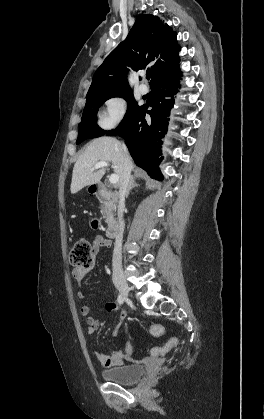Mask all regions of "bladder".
<instances>
[{"instance_id":"1","label":"bladder","mask_w":264,"mask_h":419,"mask_svg":"<svg viewBox=\"0 0 264 419\" xmlns=\"http://www.w3.org/2000/svg\"><path fill=\"white\" fill-rule=\"evenodd\" d=\"M145 373L144 365L128 363L102 371L104 380L118 384H132L137 382Z\"/></svg>"}]
</instances>
